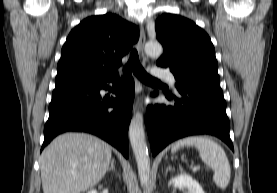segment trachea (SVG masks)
Masks as SVG:
<instances>
[{"label":"trachea","instance_id":"1","mask_svg":"<svg viewBox=\"0 0 277 193\" xmlns=\"http://www.w3.org/2000/svg\"><path fill=\"white\" fill-rule=\"evenodd\" d=\"M123 71L124 73L133 72L138 79H140L142 82H145V83H160L159 80L147 74L144 68L141 66L138 52L136 49H133L131 51L129 60L127 64L124 66Z\"/></svg>","mask_w":277,"mask_h":193}]
</instances>
